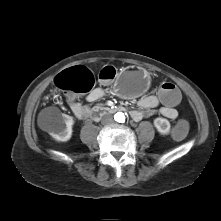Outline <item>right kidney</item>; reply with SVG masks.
Masks as SVG:
<instances>
[{"label":"right kidney","instance_id":"obj_1","mask_svg":"<svg viewBox=\"0 0 221 221\" xmlns=\"http://www.w3.org/2000/svg\"><path fill=\"white\" fill-rule=\"evenodd\" d=\"M74 120L72 116L62 114L50 126L49 134L58 142H66L72 136Z\"/></svg>","mask_w":221,"mask_h":221}]
</instances>
